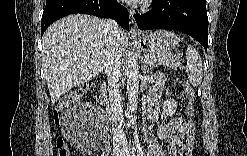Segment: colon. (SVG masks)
Masks as SVG:
<instances>
[{
	"label": "colon",
	"instance_id": "5ec220e1",
	"mask_svg": "<svg viewBox=\"0 0 247 156\" xmlns=\"http://www.w3.org/2000/svg\"><path fill=\"white\" fill-rule=\"evenodd\" d=\"M87 89H88V86L85 85V86H82L80 88L73 90L72 92L62 97V99L56 106L54 114H53L54 122L56 125L64 126L68 122V119L66 116V112L68 108L73 103L78 101L83 96V94L87 91ZM186 93L189 98V103L186 108V118H187V122H191L194 116V112H195V107H194L195 93L193 89L188 85L186 86ZM56 150L59 156H69L70 155V148L64 137L59 136L57 138Z\"/></svg>",
	"mask_w": 247,
	"mask_h": 156
}]
</instances>
